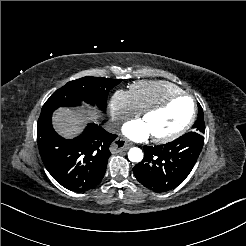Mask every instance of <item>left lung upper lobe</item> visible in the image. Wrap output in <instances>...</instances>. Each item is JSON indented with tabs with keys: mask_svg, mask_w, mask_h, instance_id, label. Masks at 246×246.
Listing matches in <instances>:
<instances>
[{
	"mask_svg": "<svg viewBox=\"0 0 246 246\" xmlns=\"http://www.w3.org/2000/svg\"><path fill=\"white\" fill-rule=\"evenodd\" d=\"M192 128L194 132L200 133L202 135L205 132L204 115H203V110L200 104H198V118L196 122L194 123V125L192 126Z\"/></svg>",
	"mask_w": 246,
	"mask_h": 246,
	"instance_id": "obj_1",
	"label": "left lung upper lobe"
}]
</instances>
